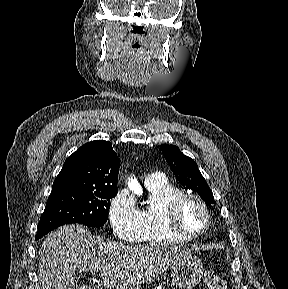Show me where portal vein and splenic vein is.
I'll use <instances>...</instances> for the list:
<instances>
[{
	"label": "portal vein and splenic vein",
	"mask_w": 288,
	"mask_h": 289,
	"mask_svg": "<svg viewBox=\"0 0 288 289\" xmlns=\"http://www.w3.org/2000/svg\"><path fill=\"white\" fill-rule=\"evenodd\" d=\"M81 270V269H80ZM98 289H102V287L98 284L97 286H96Z\"/></svg>",
	"instance_id": "18ae733b"
}]
</instances>
